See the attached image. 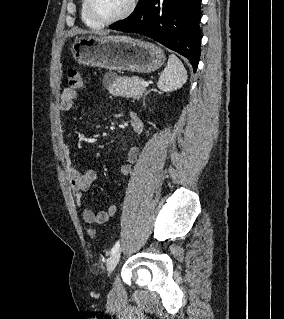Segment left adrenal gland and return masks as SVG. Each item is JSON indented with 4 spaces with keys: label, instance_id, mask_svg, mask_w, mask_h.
Instances as JSON below:
<instances>
[{
    "label": "left adrenal gland",
    "instance_id": "a2214340",
    "mask_svg": "<svg viewBox=\"0 0 284 319\" xmlns=\"http://www.w3.org/2000/svg\"><path fill=\"white\" fill-rule=\"evenodd\" d=\"M151 91H153V89H150V90H148V91H146V92L144 93V95H143V103L145 102L146 96H147Z\"/></svg>",
    "mask_w": 284,
    "mask_h": 319
}]
</instances>
